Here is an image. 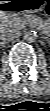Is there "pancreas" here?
<instances>
[{
    "label": "pancreas",
    "instance_id": "obj_1",
    "mask_svg": "<svg viewBox=\"0 0 50 111\" xmlns=\"http://www.w3.org/2000/svg\"><path fill=\"white\" fill-rule=\"evenodd\" d=\"M34 17L31 15L24 16V17H12L9 19L4 20L3 25L10 29H21L24 27V25L28 23H33Z\"/></svg>",
    "mask_w": 50,
    "mask_h": 111
}]
</instances>
